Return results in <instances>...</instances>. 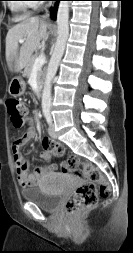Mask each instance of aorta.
Instances as JSON below:
<instances>
[{"mask_svg": "<svg viewBox=\"0 0 133 253\" xmlns=\"http://www.w3.org/2000/svg\"><path fill=\"white\" fill-rule=\"evenodd\" d=\"M69 1H60L57 11V40L54 52L48 64L46 78L42 93V110L44 113L50 112L51 107V87L56 75L59 62L63 56L65 45L69 35Z\"/></svg>", "mask_w": 133, "mask_h": 253, "instance_id": "1", "label": "aorta"}]
</instances>
